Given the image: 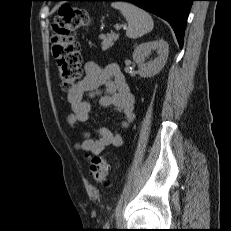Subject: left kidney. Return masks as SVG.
Returning a JSON list of instances; mask_svg holds the SVG:
<instances>
[{
    "label": "left kidney",
    "instance_id": "1",
    "mask_svg": "<svg viewBox=\"0 0 231 231\" xmlns=\"http://www.w3.org/2000/svg\"><path fill=\"white\" fill-rule=\"evenodd\" d=\"M151 51H156L158 57L145 64V57L149 56ZM168 53L169 45L162 39L142 43L137 46L133 52V60L138 64L140 76L152 77L159 73L167 61Z\"/></svg>",
    "mask_w": 231,
    "mask_h": 231
}]
</instances>
